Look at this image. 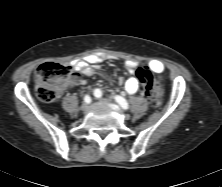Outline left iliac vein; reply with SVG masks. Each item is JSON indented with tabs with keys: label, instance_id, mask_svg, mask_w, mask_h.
Listing matches in <instances>:
<instances>
[{
	"label": "left iliac vein",
	"instance_id": "4c4485c4",
	"mask_svg": "<svg viewBox=\"0 0 222 187\" xmlns=\"http://www.w3.org/2000/svg\"><path fill=\"white\" fill-rule=\"evenodd\" d=\"M99 100L102 101V102H106V103L112 102V100L108 99V98H100Z\"/></svg>",
	"mask_w": 222,
	"mask_h": 187
}]
</instances>
